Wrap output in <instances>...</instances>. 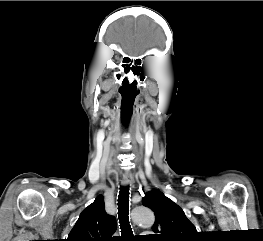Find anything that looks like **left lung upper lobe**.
I'll return each mask as SVG.
<instances>
[{
	"label": "left lung upper lobe",
	"mask_w": 263,
	"mask_h": 241,
	"mask_svg": "<svg viewBox=\"0 0 263 241\" xmlns=\"http://www.w3.org/2000/svg\"><path fill=\"white\" fill-rule=\"evenodd\" d=\"M143 205L154 211L153 241H196L198 232L183 210L161 191L148 192Z\"/></svg>",
	"instance_id": "5c2ea615"
}]
</instances>
